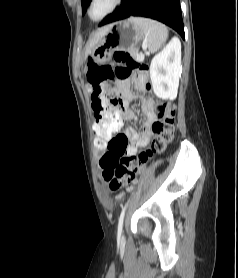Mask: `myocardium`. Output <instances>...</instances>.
I'll list each match as a JSON object with an SVG mask.
<instances>
[{"mask_svg": "<svg viewBox=\"0 0 238 278\" xmlns=\"http://www.w3.org/2000/svg\"><path fill=\"white\" fill-rule=\"evenodd\" d=\"M97 0H90L86 9V14L88 16V18L92 21V22H101L102 20H104L105 18H107L108 16H110L112 13H114L119 6L121 5L123 0H113L111 7L109 8V10L101 17L99 18H93L91 16V9L93 7V5L95 4Z\"/></svg>", "mask_w": 238, "mask_h": 278, "instance_id": "f54148a6", "label": "myocardium"}]
</instances>
